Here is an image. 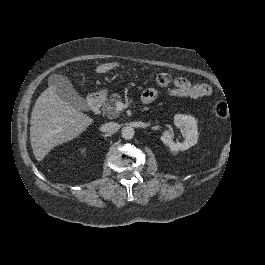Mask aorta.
Returning <instances> with one entry per match:
<instances>
[{
  "mask_svg": "<svg viewBox=\"0 0 265 265\" xmlns=\"http://www.w3.org/2000/svg\"><path fill=\"white\" fill-rule=\"evenodd\" d=\"M134 129L132 127H124L122 129L121 135L125 140H131L134 137Z\"/></svg>",
  "mask_w": 265,
  "mask_h": 265,
  "instance_id": "aorta-1",
  "label": "aorta"
}]
</instances>
